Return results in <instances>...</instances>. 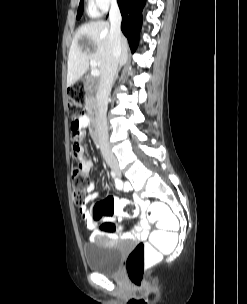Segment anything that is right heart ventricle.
I'll return each instance as SVG.
<instances>
[{"mask_svg":"<svg viewBox=\"0 0 247 304\" xmlns=\"http://www.w3.org/2000/svg\"><path fill=\"white\" fill-rule=\"evenodd\" d=\"M88 13L91 16H95L96 15V11H95V9L91 5H89Z\"/></svg>","mask_w":247,"mask_h":304,"instance_id":"1","label":"right heart ventricle"}]
</instances>
